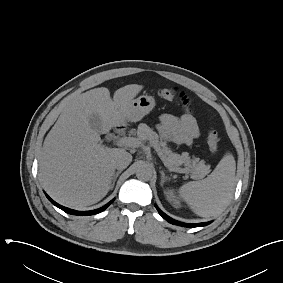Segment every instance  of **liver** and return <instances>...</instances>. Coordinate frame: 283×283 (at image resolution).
I'll list each match as a JSON object with an SVG mask.
<instances>
[{
  "instance_id": "1",
  "label": "liver",
  "mask_w": 283,
  "mask_h": 283,
  "mask_svg": "<svg viewBox=\"0 0 283 283\" xmlns=\"http://www.w3.org/2000/svg\"><path fill=\"white\" fill-rule=\"evenodd\" d=\"M143 85H126L115 91L95 88L72 98L47 134L39 162L47 193L58 203L82 208L99 202L111 189L115 156L125 151L101 144L99 133H108L124 122L128 103ZM98 115L101 131L89 119Z\"/></svg>"
}]
</instances>
